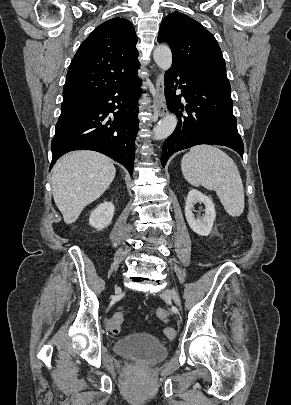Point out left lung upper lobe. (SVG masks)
Wrapping results in <instances>:
<instances>
[{
	"label": "left lung upper lobe",
	"instance_id": "5c2ea615",
	"mask_svg": "<svg viewBox=\"0 0 291 405\" xmlns=\"http://www.w3.org/2000/svg\"><path fill=\"white\" fill-rule=\"evenodd\" d=\"M157 40L170 46L172 66L226 77V64L216 39L189 16L170 13L161 23Z\"/></svg>",
	"mask_w": 291,
	"mask_h": 405
}]
</instances>
